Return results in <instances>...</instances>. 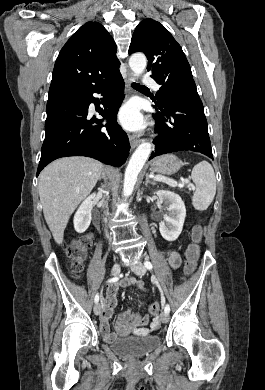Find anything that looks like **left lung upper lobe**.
Wrapping results in <instances>:
<instances>
[{
    "label": "left lung upper lobe",
    "instance_id": "5c2ea615",
    "mask_svg": "<svg viewBox=\"0 0 265 390\" xmlns=\"http://www.w3.org/2000/svg\"><path fill=\"white\" fill-rule=\"evenodd\" d=\"M134 52L146 54L147 69L161 85L156 96L158 104L166 92L197 91L181 46L159 22L148 18L137 25L129 48V54Z\"/></svg>",
    "mask_w": 265,
    "mask_h": 390
}]
</instances>
